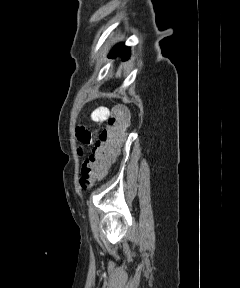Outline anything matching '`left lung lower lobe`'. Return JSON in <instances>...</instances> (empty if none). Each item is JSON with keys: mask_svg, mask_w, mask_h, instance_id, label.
<instances>
[{"mask_svg": "<svg viewBox=\"0 0 240 288\" xmlns=\"http://www.w3.org/2000/svg\"><path fill=\"white\" fill-rule=\"evenodd\" d=\"M121 56L123 60L129 56V48L125 47L124 44L117 45L110 53L109 57Z\"/></svg>", "mask_w": 240, "mask_h": 288, "instance_id": "obj_1", "label": "left lung lower lobe"}]
</instances>
